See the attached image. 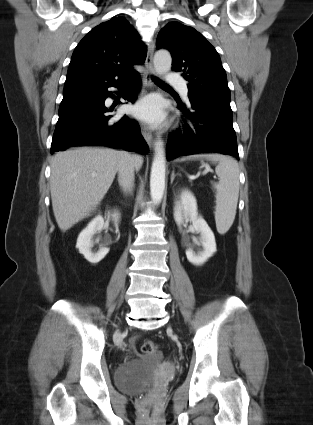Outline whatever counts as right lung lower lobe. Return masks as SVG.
<instances>
[{
  "instance_id": "1",
  "label": "right lung lower lobe",
  "mask_w": 313,
  "mask_h": 425,
  "mask_svg": "<svg viewBox=\"0 0 313 425\" xmlns=\"http://www.w3.org/2000/svg\"><path fill=\"white\" fill-rule=\"evenodd\" d=\"M138 72L126 79L86 80L65 83L59 119L52 139L51 152L73 146H108L145 154L149 148L136 121L123 116L113 120L111 108L104 105L112 97L109 87L121 88L132 82L124 99L134 102L139 90Z\"/></svg>"
}]
</instances>
